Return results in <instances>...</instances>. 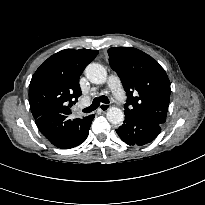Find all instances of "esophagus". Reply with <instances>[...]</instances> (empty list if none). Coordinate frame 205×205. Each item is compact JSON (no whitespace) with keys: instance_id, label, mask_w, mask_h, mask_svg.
Returning <instances> with one entry per match:
<instances>
[{"instance_id":"1","label":"esophagus","mask_w":205,"mask_h":205,"mask_svg":"<svg viewBox=\"0 0 205 205\" xmlns=\"http://www.w3.org/2000/svg\"><path fill=\"white\" fill-rule=\"evenodd\" d=\"M109 108H110V106H109L108 104H105V103H101L100 106H99V109H100L102 112L107 111Z\"/></svg>"}]
</instances>
